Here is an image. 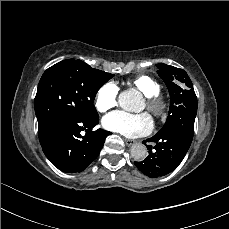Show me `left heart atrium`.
<instances>
[{
    "instance_id": "obj_1",
    "label": "left heart atrium",
    "mask_w": 229,
    "mask_h": 229,
    "mask_svg": "<svg viewBox=\"0 0 229 229\" xmlns=\"http://www.w3.org/2000/svg\"><path fill=\"white\" fill-rule=\"evenodd\" d=\"M102 124L107 130L131 138L147 135L153 129V119L148 113L130 114L115 111L106 115Z\"/></svg>"
}]
</instances>
